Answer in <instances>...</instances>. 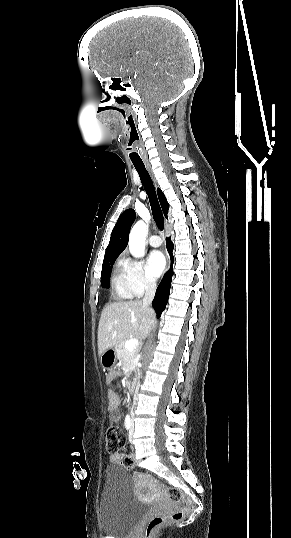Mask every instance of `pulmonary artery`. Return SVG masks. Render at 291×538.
<instances>
[{
	"label": "pulmonary artery",
	"mask_w": 291,
	"mask_h": 538,
	"mask_svg": "<svg viewBox=\"0 0 291 538\" xmlns=\"http://www.w3.org/2000/svg\"><path fill=\"white\" fill-rule=\"evenodd\" d=\"M149 244L151 247H159L161 246L162 244V239L161 237L157 236V235H153L150 239H149Z\"/></svg>",
	"instance_id": "1"
}]
</instances>
